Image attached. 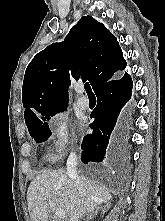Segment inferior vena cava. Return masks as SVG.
Listing matches in <instances>:
<instances>
[{"mask_svg":"<svg viewBox=\"0 0 165 221\" xmlns=\"http://www.w3.org/2000/svg\"><path fill=\"white\" fill-rule=\"evenodd\" d=\"M78 158L75 152H72L67 161L68 175L74 180V185L79 193L86 194L83 182L77 173Z\"/></svg>","mask_w":165,"mask_h":221,"instance_id":"602c4592","label":"inferior vena cava"}]
</instances>
